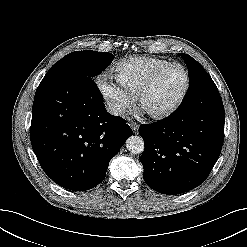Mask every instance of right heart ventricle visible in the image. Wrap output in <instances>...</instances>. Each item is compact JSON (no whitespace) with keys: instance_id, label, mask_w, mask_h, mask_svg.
Returning <instances> with one entry per match:
<instances>
[{"instance_id":"right-heart-ventricle-1","label":"right heart ventricle","mask_w":247,"mask_h":247,"mask_svg":"<svg viewBox=\"0 0 247 247\" xmlns=\"http://www.w3.org/2000/svg\"><path fill=\"white\" fill-rule=\"evenodd\" d=\"M170 63L161 58L137 56L117 63L112 72L120 87L134 97L139 87L158 68Z\"/></svg>"}]
</instances>
